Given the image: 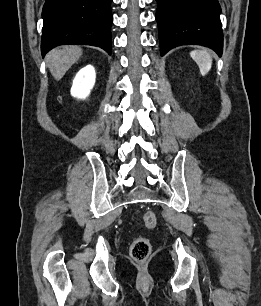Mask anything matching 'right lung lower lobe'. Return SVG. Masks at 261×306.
Here are the masks:
<instances>
[{
	"label": "right lung lower lobe",
	"mask_w": 261,
	"mask_h": 306,
	"mask_svg": "<svg viewBox=\"0 0 261 306\" xmlns=\"http://www.w3.org/2000/svg\"><path fill=\"white\" fill-rule=\"evenodd\" d=\"M112 0H46L41 53L61 44L101 47L111 54Z\"/></svg>",
	"instance_id": "1"
}]
</instances>
